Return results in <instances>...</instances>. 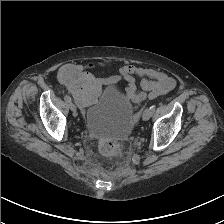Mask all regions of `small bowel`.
<instances>
[{"instance_id":"c3829d8e","label":"small bowel","mask_w":224,"mask_h":224,"mask_svg":"<svg viewBox=\"0 0 224 224\" xmlns=\"http://www.w3.org/2000/svg\"><path fill=\"white\" fill-rule=\"evenodd\" d=\"M108 66L107 63L97 62L87 65V68H101ZM118 75L114 80L123 79L127 82L126 97L134 103L142 102L146 97L151 99L162 96L175 87V80L164 72L152 68L139 67L136 65H121L116 67ZM135 76L142 78L137 88Z\"/></svg>"}]
</instances>
